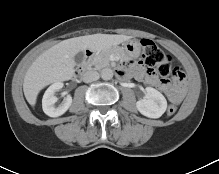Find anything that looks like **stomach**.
Wrapping results in <instances>:
<instances>
[{"label":"stomach","mask_w":219,"mask_h":174,"mask_svg":"<svg viewBox=\"0 0 219 174\" xmlns=\"http://www.w3.org/2000/svg\"><path fill=\"white\" fill-rule=\"evenodd\" d=\"M112 49L121 51L131 58H137L141 53V45L135 40H128L123 42L121 47L115 46Z\"/></svg>","instance_id":"0dacf381"}]
</instances>
